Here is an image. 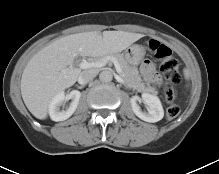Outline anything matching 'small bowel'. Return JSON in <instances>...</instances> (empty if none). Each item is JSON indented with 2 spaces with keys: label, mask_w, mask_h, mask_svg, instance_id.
I'll return each mask as SVG.
<instances>
[{
  "label": "small bowel",
  "mask_w": 219,
  "mask_h": 174,
  "mask_svg": "<svg viewBox=\"0 0 219 174\" xmlns=\"http://www.w3.org/2000/svg\"><path fill=\"white\" fill-rule=\"evenodd\" d=\"M141 73L149 83L157 84L160 81L159 73L151 60H145L143 62L141 66Z\"/></svg>",
  "instance_id": "small-bowel-1"
}]
</instances>
